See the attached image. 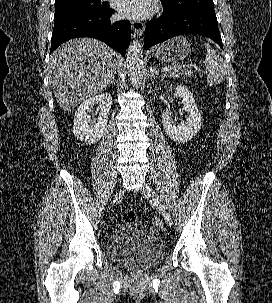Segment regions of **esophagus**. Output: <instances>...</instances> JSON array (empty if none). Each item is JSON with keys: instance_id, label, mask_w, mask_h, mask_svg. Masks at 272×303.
<instances>
[{"instance_id": "obj_1", "label": "esophagus", "mask_w": 272, "mask_h": 303, "mask_svg": "<svg viewBox=\"0 0 272 303\" xmlns=\"http://www.w3.org/2000/svg\"><path fill=\"white\" fill-rule=\"evenodd\" d=\"M131 26L134 31V35L141 37L144 32V24L138 21H131Z\"/></svg>"}]
</instances>
